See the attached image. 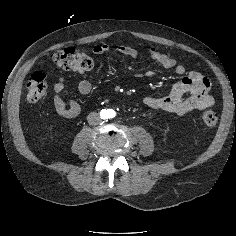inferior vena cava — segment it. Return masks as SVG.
I'll list each match as a JSON object with an SVG mask.
<instances>
[{"label":"inferior vena cava","mask_w":236,"mask_h":236,"mask_svg":"<svg viewBox=\"0 0 236 236\" xmlns=\"http://www.w3.org/2000/svg\"><path fill=\"white\" fill-rule=\"evenodd\" d=\"M87 121L90 125H97L100 123L101 119L97 112H91L87 116Z\"/></svg>","instance_id":"obj_1"}]
</instances>
